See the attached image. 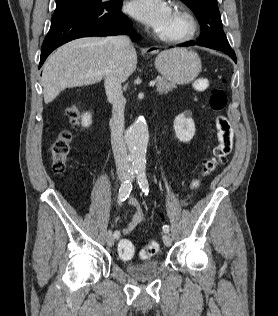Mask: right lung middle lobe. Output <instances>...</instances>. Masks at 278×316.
I'll list each match as a JSON object with an SVG mask.
<instances>
[{
    "mask_svg": "<svg viewBox=\"0 0 278 316\" xmlns=\"http://www.w3.org/2000/svg\"><path fill=\"white\" fill-rule=\"evenodd\" d=\"M101 0H57L55 13L102 4Z\"/></svg>",
    "mask_w": 278,
    "mask_h": 316,
    "instance_id": "right-lung-middle-lobe-1",
    "label": "right lung middle lobe"
}]
</instances>
